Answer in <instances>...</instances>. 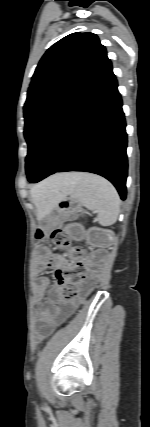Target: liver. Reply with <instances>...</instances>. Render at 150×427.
<instances>
[{"instance_id":"6515ba94","label":"liver","mask_w":150,"mask_h":427,"mask_svg":"<svg viewBox=\"0 0 150 427\" xmlns=\"http://www.w3.org/2000/svg\"><path fill=\"white\" fill-rule=\"evenodd\" d=\"M67 177V174L54 175L32 188L31 195L33 198V202L37 207L38 216L47 211L53 204L56 203V201L60 197L48 193V190L50 188L61 189V187L63 186V182L66 180Z\"/></svg>"}]
</instances>
